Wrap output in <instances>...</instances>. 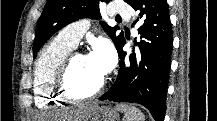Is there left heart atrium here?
Wrapping results in <instances>:
<instances>
[{
	"mask_svg": "<svg viewBox=\"0 0 217 121\" xmlns=\"http://www.w3.org/2000/svg\"><path fill=\"white\" fill-rule=\"evenodd\" d=\"M88 57L97 66L103 76L113 67L114 54L108 46L99 45L95 47Z\"/></svg>",
	"mask_w": 217,
	"mask_h": 121,
	"instance_id": "left-heart-atrium-1",
	"label": "left heart atrium"
}]
</instances>
